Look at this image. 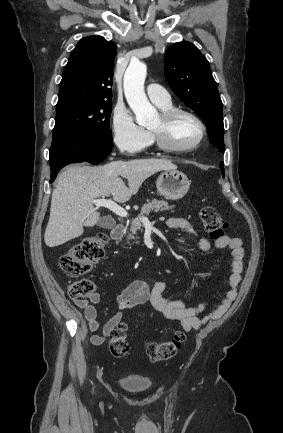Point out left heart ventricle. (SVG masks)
<instances>
[{"label": "left heart ventricle", "mask_w": 283, "mask_h": 433, "mask_svg": "<svg viewBox=\"0 0 283 433\" xmlns=\"http://www.w3.org/2000/svg\"><path fill=\"white\" fill-rule=\"evenodd\" d=\"M159 118L150 126V129H157ZM200 134L197 122L188 115H180L176 118L171 129V140L177 147H185L194 142Z\"/></svg>", "instance_id": "left-heart-ventricle-1"}]
</instances>
